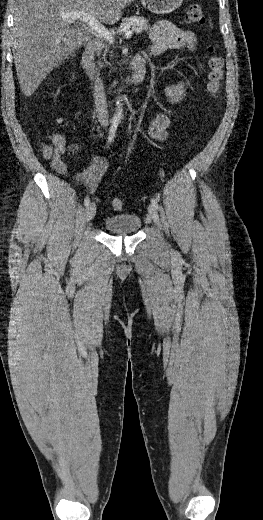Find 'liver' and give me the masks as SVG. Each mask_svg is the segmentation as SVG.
<instances>
[{
  "label": "liver",
  "instance_id": "6515ba94",
  "mask_svg": "<svg viewBox=\"0 0 263 520\" xmlns=\"http://www.w3.org/2000/svg\"><path fill=\"white\" fill-rule=\"evenodd\" d=\"M134 0H17L12 49L20 87L30 97L46 76L83 42L90 30L71 26L62 13L85 12L100 23L114 24Z\"/></svg>",
  "mask_w": 263,
  "mask_h": 520
}]
</instances>
